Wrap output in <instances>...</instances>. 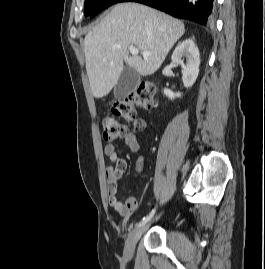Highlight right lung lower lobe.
I'll list each match as a JSON object with an SVG mask.
<instances>
[{
    "label": "right lung lower lobe",
    "mask_w": 265,
    "mask_h": 269,
    "mask_svg": "<svg viewBox=\"0 0 265 269\" xmlns=\"http://www.w3.org/2000/svg\"><path fill=\"white\" fill-rule=\"evenodd\" d=\"M214 0H126L164 11L174 17L205 25L212 13Z\"/></svg>",
    "instance_id": "obj_1"
}]
</instances>
